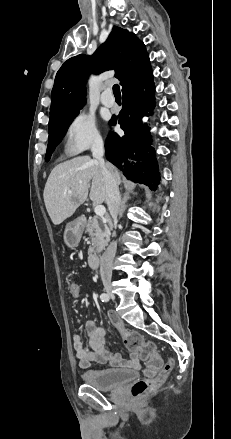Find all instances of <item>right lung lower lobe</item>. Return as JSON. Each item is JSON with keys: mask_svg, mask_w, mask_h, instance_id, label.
<instances>
[{"mask_svg": "<svg viewBox=\"0 0 231 439\" xmlns=\"http://www.w3.org/2000/svg\"><path fill=\"white\" fill-rule=\"evenodd\" d=\"M155 87L152 73L142 82L123 93V108L118 116H113L110 125H121L125 135L113 132L105 143L106 158L118 167L127 179L148 185L153 190L159 184V169L155 150L151 147L148 126L141 119L151 115L155 107ZM135 152L136 162H127V157Z\"/></svg>", "mask_w": 231, "mask_h": 439, "instance_id": "obj_1", "label": "right lung lower lobe"}]
</instances>
